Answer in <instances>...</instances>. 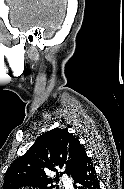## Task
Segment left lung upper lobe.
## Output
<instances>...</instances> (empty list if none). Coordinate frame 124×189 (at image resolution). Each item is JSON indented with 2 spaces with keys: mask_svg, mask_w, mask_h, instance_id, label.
<instances>
[{
  "mask_svg": "<svg viewBox=\"0 0 124 189\" xmlns=\"http://www.w3.org/2000/svg\"><path fill=\"white\" fill-rule=\"evenodd\" d=\"M87 154L79 140L65 129L55 128L37 138L21 157L17 158L5 174L3 189H17L31 185L41 189H53L58 182L48 178L45 170L63 169L60 173L73 176L80 170Z\"/></svg>",
  "mask_w": 124,
  "mask_h": 189,
  "instance_id": "5c2ea615",
  "label": "left lung upper lobe"
}]
</instances>
